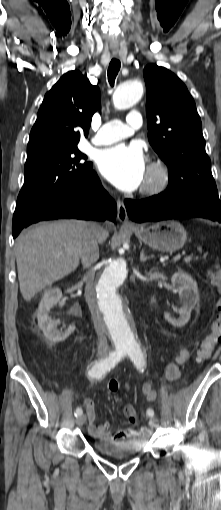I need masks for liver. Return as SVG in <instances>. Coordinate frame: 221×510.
<instances>
[{
    "label": "liver",
    "mask_w": 221,
    "mask_h": 510,
    "mask_svg": "<svg viewBox=\"0 0 221 510\" xmlns=\"http://www.w3.org/2000/svg\"><path fill=\"white\" fill-rule=\"evenodd\" d=\"M88 227L86 221L61 220L41 223L18 236L15 243L18 280L26 301L76 270L78 249ZM108 235L102 229L98 241L103 243Z\"/></svg>",
    "instance_id": "obj_1"
}]
</instances>
